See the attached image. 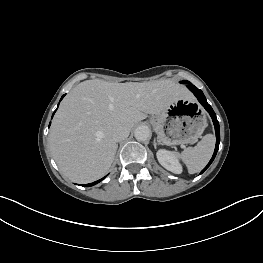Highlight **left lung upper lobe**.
Instances as JSON below:
<instances>
[{
  "mask_svg": "<svg viewBox=\"0 0 263 263\" xmlns=\"http://www.w3.org/2000/svg\"><path fill=\"white\" fill-rule=\"evenodd\" d=\"M181 83L189 84L190 82L189 81H181Z\"/></svg>",
  "mask_w": 263,
  "mask_h": 263,
  "instance_id": "5c2ea615",
  "label": "left lung upper lobe"
}]
</instances>
